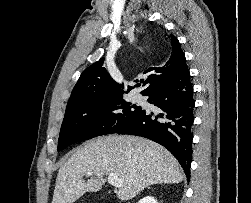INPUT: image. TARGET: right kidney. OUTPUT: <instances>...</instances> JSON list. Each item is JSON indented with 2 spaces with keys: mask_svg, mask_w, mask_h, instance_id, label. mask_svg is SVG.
I'll return each instance as SVG.
<instances>
[{
  "mask_svg": "<svg viewBox=\"0 0 251 203\" xmlns=\"http://www.w3.org/2000/svg\"><path fill=\"white\" fill-rule=\"evenodd\" d=\"M138 203H158V202L154 197L146 196L142 198Z\"/></svg>",
  "mask_w": 251,
  "mask_h": 203,
  "instance_id": "1",
  "label": "right kidney"
}]
</instances>
